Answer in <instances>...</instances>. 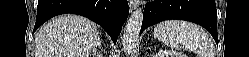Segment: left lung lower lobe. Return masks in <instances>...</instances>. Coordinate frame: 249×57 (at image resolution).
Here are the masks:
<instances>
[{
    "label": "left lung lower lobe",
    "instance_id": "left-lung-lower-lobe-1",
    "mask_svg": "<svg viewBox=\"0 0 249 57\" xmlns=\"http://www.w3.org/2000/svg\"><path fill=\"white\" fill-rule=\"evenodd\" d=\"M170 19L187 20L207 29L218 44L214 0H154L144 9L140 34L149 26Z\"/></svg>",
    "mask_w": 249,
    "mask_h": 57
}]
</instances>
